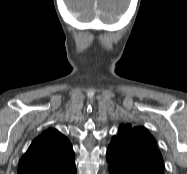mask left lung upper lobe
I'll use <instances>...</instances> for the list:
<instances>
[{"instance_id": "left-lung-upper-lobe-1", "label": "left lung upper lobe", "mask_w": 187, "mask_h": 174, "mask_svg": "<svg viewBox=\"0 0 187 174\" xmlns=\"http://www.w3.org/2000/svg\"><path fill=\"white\" fill-rule=\"evenodd\" d=\"M106 156L110 173L164 174V162L156 141L144 127L121 125Z\"/></svg>"}]
</instances>
